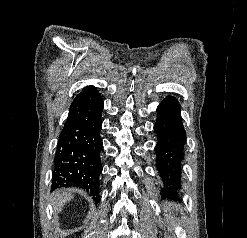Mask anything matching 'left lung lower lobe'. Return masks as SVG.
Returning a JSON list of instances; mask_svg holds the SVG:
<instances>
[{
  "instance_id": "left-lung-lower-lobe-1",
  "label": "left lung lower lobe",
  "mask_w": 247,
  "mask_h": 238,
  "mask_svg": "<svg viewBox=\"0 0 247 238\" xmlns=\"http://www.w3.org/2000/svg\"><path fill=\"white\" fill-rule=\"evenodd\" d=\"M154 131L158 137L155 147L157 169L165 189L171 192L180 187L183 147L186 141L180 105L174 97H167L159 104Z\"/></svg>"
}]
</instances>
